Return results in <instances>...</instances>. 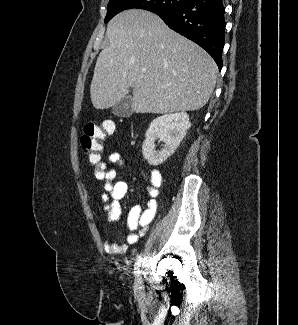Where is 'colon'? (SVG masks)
I'll return each mask as SVG.
<instances>
[{"label":"colon","mask_w":298,"mask_h":325,"mask_svg":"<svg viewBox=\"0 0 298 325\" xmlns=\"http://www.w3.org/2000/svg\"><path fill=\"white\" fill-rule=\"evenodd\" d=\"M115 130V124L110 120L100 123H89L85 126L80 143L90 164L95 165L102 156L105 139Z\"/></svg>","instance_id":"obj_1"}]
</instances>
